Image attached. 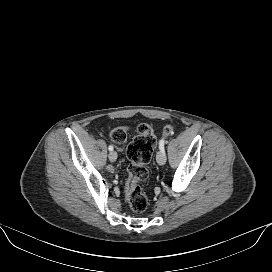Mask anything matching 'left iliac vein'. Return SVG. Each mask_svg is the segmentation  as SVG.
<instances>
[{"label":"left iliac vein","instance_id":"obj_1","mask_svg":"<svg viewBox=\"0 0 272 272\" xmlns=\"http://www.w3.org/2000/svg\"><path fill=\"white\" fill-rule=\"evenodd\" d=\"M156 160L159 165H164L166 163L165 151H159L156 155Z\"/></svg>","mask_w":272,"mask_h":272}]
</instances>
